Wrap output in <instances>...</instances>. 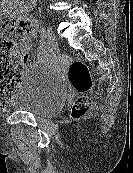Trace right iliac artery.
<instances>
[{"label":"right iliac artery","mask_w":133,"mask_h":173,"mask_svg":"<svg viewBox=\"0 0 133 173\" xmlns=\"http://www.w3.org/2000/svg\"><path fill=\"white\" fill-rule=\"evenodd\" d=\"M48 43H49L48 41H43V46L44 47H47L48 46Z\"/></svg>","instance_id":"right-iliac-artery-1"}]
</instances>
